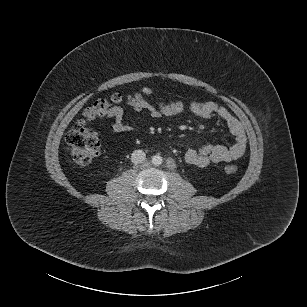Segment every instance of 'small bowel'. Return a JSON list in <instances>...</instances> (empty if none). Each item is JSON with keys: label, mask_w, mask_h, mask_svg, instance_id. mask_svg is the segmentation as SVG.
<instances>
[{"label": "small bowel", "mask_w": 307, "mask_h": 307, "mask_svg": "<svg viewBox=\"0 0 307 307\" xmlns=\"http://www.w3.org/2000/svg\"><path fill=\"white\" fill-rule=\"evenodd\" d=\"M141 94L152 96L154 91L150 87H142L140 92L129 95V105L134 114L143 111L148 112L151 119L161 117H172L181 114L185 110V104L182 101H173L169 103L158 102L153 105L143 100ZM190 112L196 117L211 120L218 118L227 126L229 132L234 137L231 146L207 145L201 149H189L185 153L187 163L205 167L211 163L230 162L244 155L247 147V137L240 121L233 116L225 107L212 102L194 100L188 105ZM106 117L111 122V128L116 133H128L134 131L135 127L125 119V112L122 107L111 108Z\"/></svg>", "instance_id": "1"}]
</instances>
